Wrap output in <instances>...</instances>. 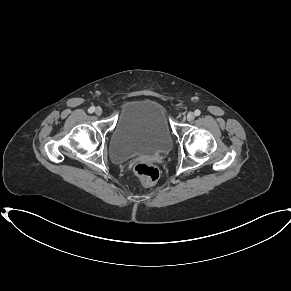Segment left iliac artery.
<instances>
[{
	"instance_id": "44dca946",
	"label": "left iliac artery",
	"mask_w": 291,
	"mask_h": 291,
	"mask_svg": "<svg viewBox=\"0 0 291 291\" xmlns=\"http://www.w3.org/2000/svg\"><path fill=\"white\" fill-rule=\"evenodd\" d=\"M194 114H195L196 116H199V115L201 114V111L197 109V110H195Z\"/></svg>"
}]
</instances>
